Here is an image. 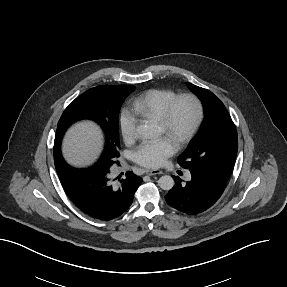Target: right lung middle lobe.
I'll return each mask as SVG.
<instances>
[{
  "label": "right lung middle lobe",
  "instance_id": "dd1d6c3e",
  "mask_svg": "<svg viewBox=\"0 0 287 287\" xmlns=\"http://www.w3.org/2000/svg\"><path fill=\"white\" fill-rule=\"evenodd\" d=\"M134 89L132 85H104L87 90L65 109L56 133L63 136L65 130L78 120L95 121L105 135V149L96 165L109 169L118 163L120 156L118 114L123 101Z\"/></svg>",
  "mask_w": 287,
  "mask_h": 287
}]
</instances>
